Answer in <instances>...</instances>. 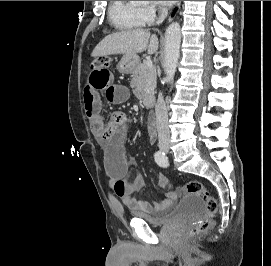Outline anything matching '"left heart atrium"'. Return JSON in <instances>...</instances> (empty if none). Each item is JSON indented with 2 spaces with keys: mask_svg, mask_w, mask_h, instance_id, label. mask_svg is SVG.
Masks as SVG:
<instances>
[{
  "mask_svg": "<svg viewBox=\"0 0 271 266\" xmlns=\"http://www.w3.org/2000/svg\"><path fill=\"white\" fill-rule=\"evenodd\" d=\"M158 2L162 5H170V4L174 3L175 1H158Z\"/></svg>",
  "mask_w": 271,
  "mask_h": 266,
  "instance_id": "obj_1",
  "label": "left heart atrium"
}]
</instances>
